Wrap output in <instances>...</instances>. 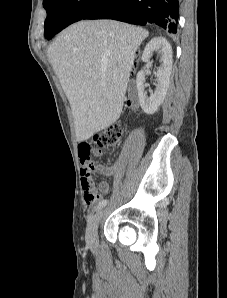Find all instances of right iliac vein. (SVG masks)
Segmentation results:
<instances>
[{
  "instance_id": "1",
  "label": "right iliac vein",
  "mask_w": 227,
  "mask_h": 298,
  "mask_svg": "<svg viewBox=\"0 0 227 298\" xmlns=\"http://www.w3.org/2000/svg\"><path fill=\"white\" fill-rule=\"evenodd\" d=\"M103 211H98L92 218L89 220L86 228V242L90 247H96L98 242V226L102 219Z\"/></svg>"
}]
</instances>
